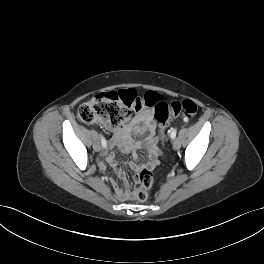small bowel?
I'll use <instances>...</instances> for the list:
<instances>
[{
  "mask_svg": "<svg viewBox=\"0 0 264 264\" xmlns=\"http://www.w3.org/2000/svg\"><path fill=\"white\" fill-rule=\"evenodd\" d=\"M156 131V121L153 110H142L136 115L129 117L126 124L116 130L114 139L110 142V147L118 144L124 153L136 152L145 146L148 150L149 159L144 166H140L136 163H129V167L134 171H139L143 167L153 169L158 164V157L160 150L158 148ZM144 134L149 133L144 142L136 141L131 138V134ZM106 161L114 168L117 174L124 178L119 164L116 161V155L114 152H109L105 155ZM113 189L116 196L120 200H128L131 198V191L129 190L128 184L125 183L124 187L119 186L116 181L112 182Z\"/></svg>",
  "mask_w": 264,
  "mask_h": 264,
  "instance_id": "c3829d8e",
  "label": "small bowel"
}]
</instances>
